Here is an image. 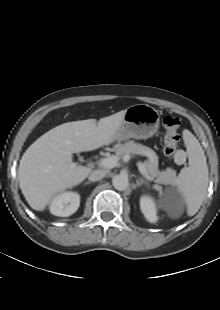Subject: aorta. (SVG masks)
<instances>
[{
  "instance_id": "762f6f07",
  "label": "aorta",
  "mask_w": 220,
  "mask_h": 310,
  "mask_svg": "<svg viewBox=\"0 0 220 310\" xmlns=\"http://www.w3.org/2000/svg\"><path fill=\"white\" fill-rule=\"evenodd\" d=\"M112 184L116 190L124 191L127 189L129 185V180L127 176L124 175H116L112 180Z\"/></svg>"
}]
</instances>
